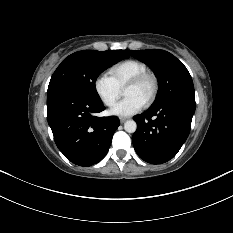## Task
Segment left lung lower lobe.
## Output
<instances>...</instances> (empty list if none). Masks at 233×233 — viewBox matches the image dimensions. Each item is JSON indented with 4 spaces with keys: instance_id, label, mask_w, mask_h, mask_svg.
Returning <instances> with one entry per match:
<instances>
[{
    "instance_id": "0a47b994",
    "label": "left lung lower lobe",
    "mask_w": 233,
    "mask_h": 233,
    "mask_svg": "<svg viewBox=\"0 0 233 233\" xmlns=\"http://www.w3.org/2000/svg\"><path fill=\"white\" fill-rule=\"evenodd\" d=\"M195 108V102L176 99L135 116L138 128L132 142L138 156L151 164L172 159L189 135Z\"/></svg>"
}]
</instances>
